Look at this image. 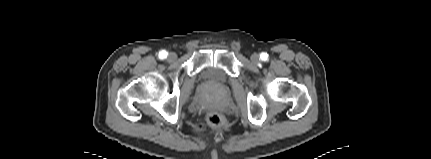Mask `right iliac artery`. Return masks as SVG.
Masks as SVG:
<instances>
[{
  "label": "right iliac artery",
  "instance_id": "obj_1",
  "mask_svg": "<svg viewBox=\"0 0 431 159\" xmlns=\"http://www.w3.org/2000/svg\"><path fill=\"white\" fill-rule=\"evenodd\" d=\"M167 55H168V53H167L165 50H162V51L159 53V58L164 59V58H166V57H167Z\"/></svg>",
  "mask_w": 431,
  "mask_h": 159
}]
</instances>
